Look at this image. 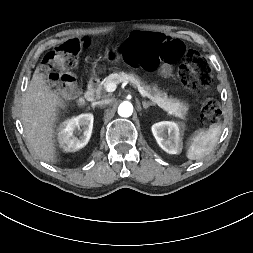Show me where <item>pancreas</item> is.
Here are the masks:
<instances>
[{
    "label": "pancreas",
    "instance_id": "1",
    "mask_svg": "<svg viewBox=\"0 0 253 253\" xmlns=\"http://www.w3.org/2000/svg\"><path fill=\"white\" fill-rule=\"evenodd\" d=\"M126 81H130L136 85H140L145 91L144 97H148L153 101L154 104H157L165 111L174 110L182 116L187 114V105L180 103L176 99L168 98L167 94L160 91L156 85L150 86L148 84H145L140 80L139 76L133 73L119 72L110 74L101 82V89L106 90V87L109 83H115L117 85Z\"/></svg>",
    "mask_w": 253,
    "mask_h": 253
}]
</instances>
